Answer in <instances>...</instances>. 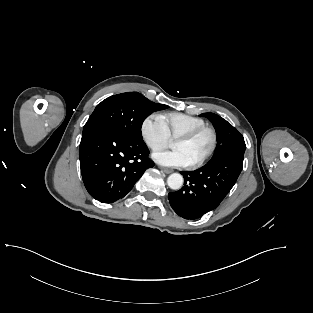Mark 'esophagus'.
<instances>
[{
  "label": "esophagus",
  "mask_w": 313,
  "mask_h": 313,
  "mask_svg": "<svg viewBox=\"0 0 313 313\" xmlns=\"http://www.w3.org/2000/svg\"><path fill=\"white\" fill-rule=\"evenodd\" d=\"M160 169H161L162 172H164V173H166V174H170V173L173 172V170H172V169H169V168H163V167H161Z\"/></svg>",
  "instance_id": "1"
}]
</instances>
